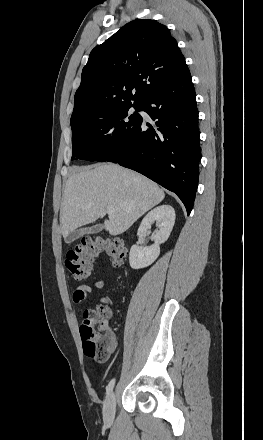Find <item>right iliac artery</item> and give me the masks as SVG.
Wrapping results in <instances>:
<instances>
[{
	"mask_svg": "<svg viewBox=\"0 0 263 440\" xmlns=\"http://www.w3.org/2000/svg\"><path fill=\"white\" fill-rule=\"evenodd\" d=\"M115 385V379H112L106 387V394L109 395Z\"/></svg>",
	"mask_w": 263,
	"mask_h": 440,
	"instance_id": "1",
	"label": "right iliac artery"
}]
</instances>
